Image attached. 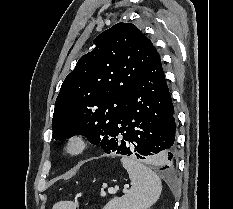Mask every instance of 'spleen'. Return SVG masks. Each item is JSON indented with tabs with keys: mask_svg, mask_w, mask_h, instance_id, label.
Returning <instances> with one entry per match:
<instances>
[{
	"mask_svg": "<svg viewBox=\"0 0 233 209\" xmlns=\"http://www.w3.org/2000/svg\"><path fill=\"white\" fill-rule=\"evenodd\" d=\"M123 167L132 181V187L122 197L109 201L104 209H148L160 197L162 184L160 178L151 169L133 158H121ZM71 201H61L53 209H74Z\"/></svg>",
	"mask_w": 233,
	"mask_h": 209,
	"instance_id": "spleen-1",
	"label": "spleen"
}]
</instances>
